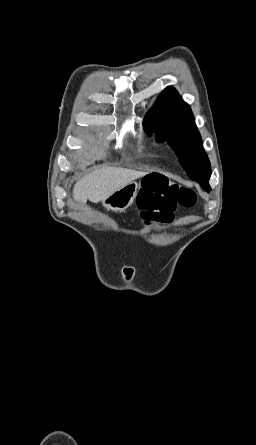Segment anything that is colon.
<instances>
[{"instance_id": "1", "label": "colon", "mask_w": 256, "mask_h": 445, "mask_svg": "<svg viewBox=\"0 0 256 445\" xmlns=\"http://www.w3.org/2000/svg\"><path fill=\"white\" fill-rule=\"evenodd\" d=\"M137 203L143 222L169 223L178 207L195 206L197 196L191 188L164 176H149L138 193Z\"/></svg>"}]
</instances>
